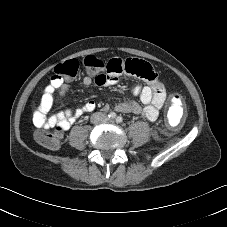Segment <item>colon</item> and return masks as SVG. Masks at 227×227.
Masks as SVG:
<instances>
[{
	"label": "colon",
	"instance_id": "1",
	"mask_svg": "<svg viewBox=\"0 0 227 227\" xmlns=\"http://www.w3.org/2000/svg\"><path fill=\"white\" fill-rule=\"evenodd\" d=\"M83 65L95 75L101 73L103 69H108L114 73L120 72L116 59H112L107 64L95 55H87L83 59ZM80 68L79 61L75 58L59 63L54 69V75L51 78L49 90L61 87L65 79L76 77ZM127 72L138 75L142 78H153V68L150 64L138 60H130L125 63ZM183 97L178 92H172L169 96V112L171 115L179 116L184 110ZM35 139L43 146L56 149L60 146V135L57 132L37 131L34 134Z\"/></svg>",
	"mask_w": 227,
	"mask_h": 227
}]
</instances>
